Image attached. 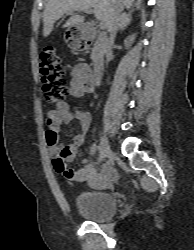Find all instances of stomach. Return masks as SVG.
<instances>
[{"label":"stomach","mask_w":194,"mask_h":250,"mask_svg":"<svg viewBox=\"0 0 194 250\" xmlns=\"http://www.w3.org/2000/svg\"><path fill=\"white\" fill-rule=\"evenodd\" d=\"M76 28H77V32H79L80 34V37H77L76 39H74V37L71 35L70 37L67 38V41L71 42L74 49H81V45L76 42L80 40L81 38L83 39L86 38L87 34L85 32V29L82 26L77 25Z\"/></svg>","instance_id":"obj_1"}]
</instances>
